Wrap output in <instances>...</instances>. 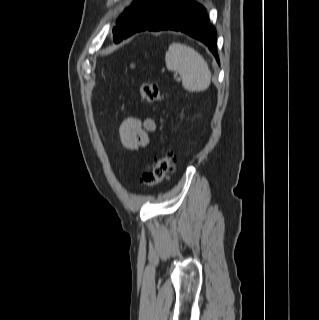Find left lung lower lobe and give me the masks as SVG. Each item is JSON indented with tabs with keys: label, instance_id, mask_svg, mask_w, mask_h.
I'll list each match as a JSON object with an SVG mask.
<instances>
[{
	"label": "left lung lower lobe",
	"instance_id": "0a47b994",
	"mask_svg": "<svg viewBox=\"0 0 319 320\" xmlns=\"http://www.w3.org/2000/svg\"><path fill=\"white\" fill-rule=\"evenodd\" d=\"M174 30L204 43L219 62L216 30L206 9L192 0H158L129 29L125 38L140 31Z\"/></svg>",
	"mask_w": 319,
	"mask_h": 320
}]
</instances>
